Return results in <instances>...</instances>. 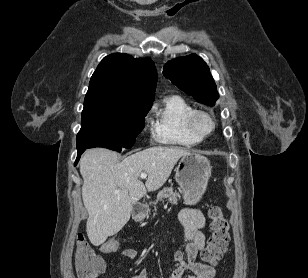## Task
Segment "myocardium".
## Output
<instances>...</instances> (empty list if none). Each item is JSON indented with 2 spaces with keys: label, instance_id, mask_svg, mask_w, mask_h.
I'll return each mask as SVG.
<instances>
[{
  "label": "myocardium",
  "instance_id": "1",
  "mask_svg": "<svg viewBox=\"0 0 308 278\" xmlns=\"http://www.w3.org/2000/svg\"><path fill=\"white\" fill-rule=\"evenodd\" d=\"M200 117H205L209 120V122L211 123V129L208 132H201L198 127H197V120ZM186 123H187V127L189 129V131L197 138H199L200 140L205 139L207 137H209L210 135L213 134V132L215 131L216 128V122L213 118V116L203 110H195L193 111L191 114L188 115L187 119H186Z\"/></svg>",
  "mask_w": 308,
  "mask_h": 278
}]
</instances>
